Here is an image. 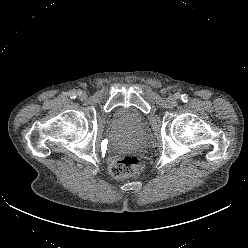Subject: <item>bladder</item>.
Segmentation results:
<instances>
[{
	"label": "bladder",
	"mask_w": 248,
	"mask_h": 248,
	"mask_svg": "<svg viewBox=\"0 0 248 248\" xmlns=\"http://www.w3.org/2000/svg\"><path fill=\"white\" fill-rule=\"evenodd\" d=\"M114 120L116 122H127L133 125H140L143 122V118L136 114H133L127 109L120 108L114 114ZM142 135L130 134L128 136H121L117 139V146H138L143 143Z\"/></svg>",
	"instance_id": "bladder-1"
}]
</instances>
